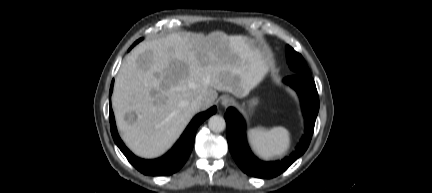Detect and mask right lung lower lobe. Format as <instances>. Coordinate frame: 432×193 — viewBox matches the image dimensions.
Returning <instances> with one entry per match:
<instances>
[{"label": "right lung lower lobe", "mask_w": 432, "mask_h": 193, "mask_svg": "<svg viewBox=\"0 0 432 193\" xmlns=\"http://www.w3.org/2000/svg\"><path fill=\"white\" fill-rule=\"evenodd\" d=\"M132 48V47H131ZM113 82L111 83L109 92L110 101V123L111 134L119 149L126 156L128 161L140 172L146 175H170L178 171L188 159L194 144L195 134L198 126L208 117L216 112V107H212L206 112L195 116L184 133L181 135L175 146L164 156L155 160H144L132 154L120 139L116 125L114 114L111 108V94L113 90Z\"/></svg>", "instance_id": "right-lung-lower-lobe-1"}]
</instances>
